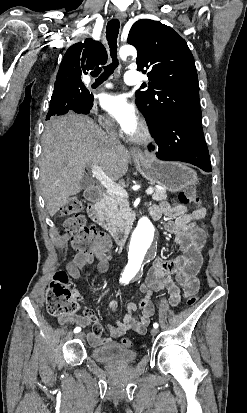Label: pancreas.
I'll use <instances>...</instances> for the list:
<instances>
[{
    "instance_id": "1",
    "label": "pancreas",
    "mask_w": 247,
    "mask_h": 413,
    "mask_svg": "<svg viewBox=\"0 0 247 413\" xmlns=\"http://www.w3.org/2000/svg\"><path fill=\"white\" fill-rule=\"evenodd\" d=\"M154 190L155 192L152 194L154 200H165L167 196L166 190H158V188H154ZM104 198L106 200V209L101 219L107 225L110 233H116L121 225H129L127 217L129 209L128 198L120 196V194H112V192H104Z\"/></svg>"
}]
</instances>
